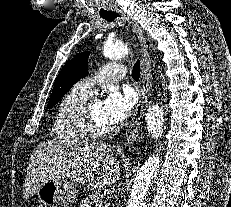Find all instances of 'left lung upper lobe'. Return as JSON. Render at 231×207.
<instances>
[{
  "mask_svg": "<svg viewBox=\"0 0 231 207\" xmlns=\"http://www.w3.org/2000/svg\"><path fill=\"white\" fill-rule=\"evenodd\" d=\"M89 53H79L63 66L57 76L47 107L56 104L73 84L88 73Z\"/></svg>",
  "mask_w": 231,
  "mask_h": 207,
  "instance_id": "obj_1",
  "label": "left lung upper lobe"
}]
</instances>
